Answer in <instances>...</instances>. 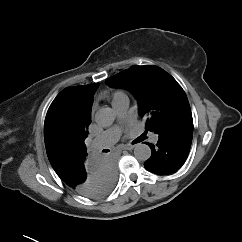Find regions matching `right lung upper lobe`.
Listing matches in <instances>:
<instances>
[{"label": "right lung upper lobe", "instance_id": "1", "mask_svg": "<svg viewBox=\"0 0 242 242\" xmlns=\"http://www.w3.org/2000/svg\"><path fill=\"white\" fill-rule=\"evenodd\" d=\"M98 83L69 87L50 105L44 123L48 159L60 177L85 157L84 143L91 123L93 95Z\"/></svg>", "mask_w": 242, "mask_h": 242}]
</instances>
